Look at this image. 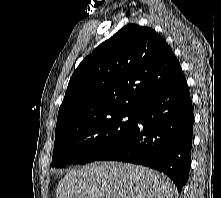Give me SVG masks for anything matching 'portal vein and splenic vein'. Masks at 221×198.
Listing matches in <instances>:
<instances>
[{"label":"portal vein and splenic vein","mask_w":221,"mask_h":198,"mask_svg":"<svg viewBox=\"0 0 221 198\" xmlns=\"http://www.w3.org/2000/svg\"><path fill=\"white\" fill-rule=\"evenodd\" d=\"M105 198H111V196H106Z\"/></svg>","instance_id":"obj_1"}]
</instances>
